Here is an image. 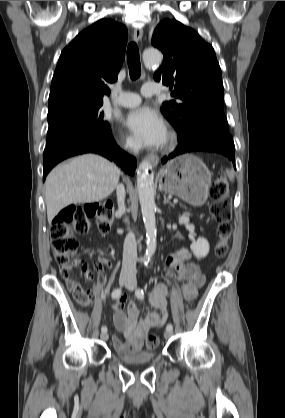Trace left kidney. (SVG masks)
<instances>
[{"mask_svg":"<svg viewBox=\"0 0 285 418\" xmlns=\"http://www.w3.org/2000/svg\"><path fill=\"white\" fill-rule=\"evenodd\" d=\"M190 249L197 258H201L207 256L210 247L208 241L204 237H200L192 242Z\"/></svg>","mask_w":285,"mask_h":418,"instance_id":"left-kidney-1","label":"left kidney"}]
</instances>
